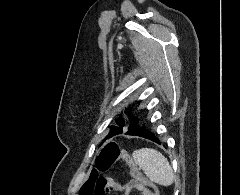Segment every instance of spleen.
<instances>
[{"label":"spleen","instance_id":"3e777b00","mask_svg":"<svg viewBox=\"0 0 240 195\" xmlns=\"http://www.w3.org/2000/svg\"><path fill=\"white\" fill-rule=\"evenodd\" d=\"M132 155L135 163L143 169L145 175L151 181L160 183V185H171L173 183L175 175L163 153H160L157 149H152V147H141V149L133 151Z\"/></svg>","mask_w":240,"mask_h":195}]
</instances>
